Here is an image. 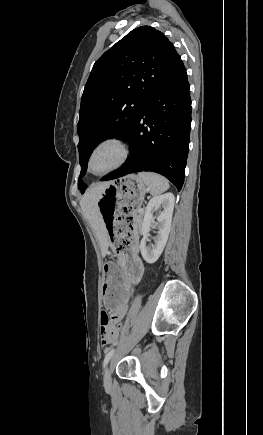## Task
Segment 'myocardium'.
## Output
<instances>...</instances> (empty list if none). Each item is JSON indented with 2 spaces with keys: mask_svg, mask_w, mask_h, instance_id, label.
Instances as JSON below:
<instances>
[{
  "mask_svg": "<svg viewBox=\"0 0 263 435\" xmlns=\"http://www.w3.org/2000/svg\"><path fill=\"white\" fill-rule=\"evenodd\" d=\"M108 144H112L117 146L120 151H121V157L120 160L117 162V164H115L113 167H111L110 169L102 172V173H94L91 170V160L95 154V152L101 148L102 146L108 145ZM131 154V148L129 146V144L127 143V141H125L123 138L118 137V136H108L105 137L103 139H101L100 141H98L93 148L91 149L88 158H87V171L94 176L97 177H101V176H105L111 172L116 171L117 169L121 168L129 159Z\"/></svg>",
  "mask_w": 263,
  "mask_h": 435,
  "instance_id": "obj_1",
  "label": "myocardium"
}]
</instances>
